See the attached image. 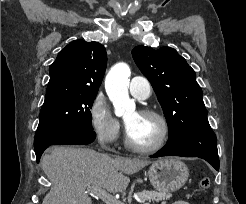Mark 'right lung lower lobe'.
Returning <instances> with one entry per match:
<instances>
[{
	"label": "right lung lower lobe",
	"instance_id": "1",
	"mask_svg": "<svg viewBox=\"0 0 246 204\" xmlns=\"http://www.w3.org/2000/svg\"><path fill=\"white\" fill-rule=\"evenodd\" d=\"M95 137L96 135L93 130L78 129L74 133L67 135L66 137H64L63 139L52 145H85L93 142ZM52 145L51 144L42 145L35 149L37 162H39L40 157L44 152V150Z\"/></svg>",
	"mask_w": 246,
	"mask_h": 204
}]
</instances>
